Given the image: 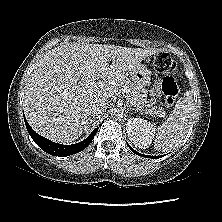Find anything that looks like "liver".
<instances>
[{
    "label": "liver",
    "mask_w": 222,
    "mask_h": 222,
    "mask_svg": "<svg viewBox=\"0 0 222 222\" xmlns=\"http://www.w3.org/2000/svg\"><path fill=\"white\" fill-rule=\"evenodd\" d=\"M157 52L76 43L52 49L40 58L27 83L23 107L28 123L51 141H75L90 125L92 106L119 94L128 75Z\"/></svg>",
    "instance_id": "1"
}]
</instances>
